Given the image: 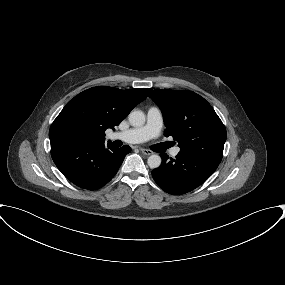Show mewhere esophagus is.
Masks as SVG:
<instances>
[{
    "mask_svg": "<svg viewBox=\"0 0 285 285\" xmlns=\"http://www.w3.org/2000/svg\"><path fill=\"white\" fill-rule=\"evenodd\" d=\"M140 150H141V152H142L144 155H147V156L153 154V152H152L151 150H148V149H145V148H141Z\"/></svg>",
    "mask_w": 285,
    "mask_h": 285,
    "instance_id": "1",
    "label": "esophagus"
}]
</instances>
